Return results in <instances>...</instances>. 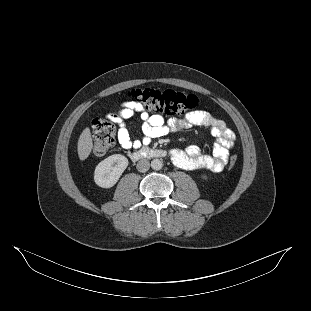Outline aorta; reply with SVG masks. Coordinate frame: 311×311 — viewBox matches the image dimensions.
<instances>
[{
  "label": "aorta",
  "instance_id": "762f6f07",
  "mask_svg": "<svg viewBox=\"0 0 311 311\" xmlns=\"http://www.w3.org/2000/svg\"><path fill=\"white\" fill-rule=\"evenodd\" d=\"M151 167L153 170H160L163 167V162L160 159H153L151 161Z\"/></svg>",
  "mask_w": 311,
  "mask_h": 311
}]
</instances>
